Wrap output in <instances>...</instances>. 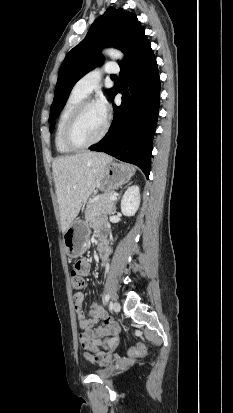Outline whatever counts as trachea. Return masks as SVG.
I'll return each instance as SVG.
<instances>
[{"label":"trachea","mask_w":233,"mask_h":413,"mask_svg":"<svg viewBox=\"0 0 233 413\" xmlns=\"http://www.w3.org/2000/svg\"><path fill=\"white\" fill-rule=\"evenodd\" d=\"M111 77H112V78H115V77H116V75H112Z\"/></svg>","instance_id":"1"}]
</instances>
